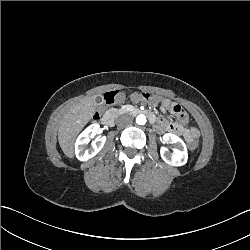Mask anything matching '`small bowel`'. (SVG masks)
<instances>
[{
    "label": "small bowel",
    "instance_id": "1",
    "mask_svg": "<svg viewBox=\"0 0 250 250\" xmlns=\"http://www.w3.org/2000/svg\"><path fill=\"white\" fill-rule=\"evenodd\" d=\"M131 99L133 100V101H138V100H140L139 98H138V93H133L132 95H131ZM152 101H153V98H152ZM162 106L164 107V108H170L171 109V111L174 113V111H173V109H174V107L176 106V105H173L170 101H168V100H164V101H162ZM158 124H159V126L160 127H168V124L166 123V122H164V121H161V122H158ZM170 128L173 130V131H175V132H181V131H183V127L182 126H180V125H178V124H174V125H170ZM187 135H188V137L189 138H191V139H195V138H197L198 137V131H197V129L196 128H191V129H189L188 131H187Z\"/></svg>",
    "mask_w": 250,
    "mask_h": 250
}]
</instances>
